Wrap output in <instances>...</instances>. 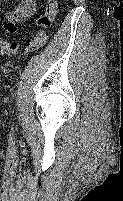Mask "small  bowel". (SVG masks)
I'll return each instance as SVG.
<instances>
[{
    "instance_id": "1",
    "label": "small bowel",
    "mask_w": 123,
    "mask_h": 201,
    "mask_svg": "<svg viewBox=\"0 0 123 201\" xmlns=\"http://www.w3.org/2000/svg\"><path fill=\"white\" fill-rule=\"evenodd\" d=\"M35 11L36 0H19L16 7L5 14L4 31L9 34L15 33L18 24L31 17Z\"/></svg>"
}]
</instances>
